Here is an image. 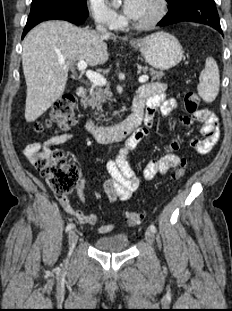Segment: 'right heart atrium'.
<instances>
[{
	"mask_svg": "<svg viewBox=\"0 0 232 311\" xmlns=\"http://www.w3.org/2000/svg\"><path fill=\"white\" fill-rule=\"evenodd\" d=\"M88 8L94 21L101 26L115 29L121 24V17L105 0H88Z\"/></svg>",
	"mask_w": 232,
	"mask_h": 311,
	"instance_id": "obj_1",
	"label": "right heart atrium"
}]
</instances>
